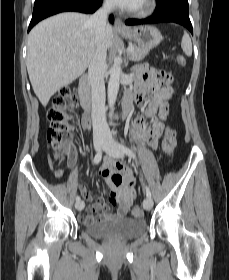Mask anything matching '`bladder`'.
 <instances>
[{
  "label": "bladder",
  "instance_id": "1",
  "mask_svg": "<svg viewBox=\"0 0 229 280\" xmlns=\"http://www.w3.org/2000/svg\"><path fill=\"white\" fill-rule=\"evenodd\" d=\"M84 226L87 233L98 238L131 239L142 235L147 230L145 219L132 217H122L111 221L88 222Z\"/></svg>",
  "mask_w": 229,
  "mask_h": 280
}]
</instances>
